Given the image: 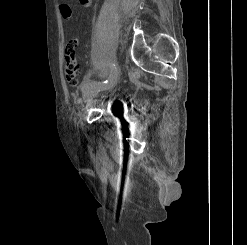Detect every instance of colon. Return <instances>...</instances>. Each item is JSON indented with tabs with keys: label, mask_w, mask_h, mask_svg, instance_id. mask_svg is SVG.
Here are the masks:
<instances>
[{
	"label": "colon",
	"mask_w": 247,
	"mask_h": 245,
	"mask_svg": "<svg viewBox=\"0 0 247 245\" xmlns=\"http://www.w3.org/2000/svg\"><path fill=\"white\" fill-rule=\"evenodd\" d=\"M76 45L75 39L68 40L65 47V76L69 84L78 85L81 80V68L76 57Z\"/></svg>",
	"instance_id": "5ec220e1"
}]
</instances>
